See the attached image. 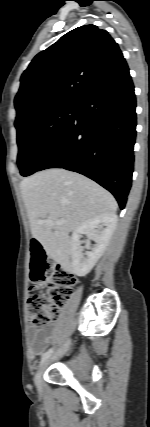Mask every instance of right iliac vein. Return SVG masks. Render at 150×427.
<instances>
[{
    "label": "right iliac vein",
    "instance_id": "63e3f726",
    "mask_svg": "<svg viewBox=\"0 0 150 427\" xmlns=\"http://www.w3.org/2000/svg\"><path fill=\"white\" fill-rule=\"evenodd\" d=\"M69 345H70V341H67L50 359H48L47 361H45L41 365V367L39 368V370L35 376V383H36L38 388H41V386H42V374H43L44 370L46 369V367L48 366V364L52 360H55L57 358L62 357L65 354V352L67 351Z\"/></svg>",
    "mask_w": 150,
    "mask_h": 427
}]
</instances>
